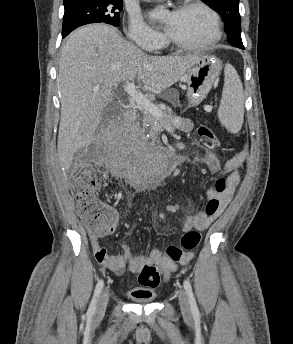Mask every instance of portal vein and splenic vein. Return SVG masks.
I'll use <instances>...</instances> for the list:
<instances>
[{
	"label": "portal vein and splenic vein",
	"mask_w": 293,
	"mask_h": 344,
	"mask_svg": "<svg viewBox=\"0 0 293 344\" xmlns=\"http://www.w3.org/2000/svg\"><path fill=\"white\" fill-rule=\"evenodd\" d=\"M124 91L136 102L146 113L163 121V114L160 108L154 105L146 96L136 90L134 83L129 82L124 86Z\"/></svg>",
	"instance_id": "portal-vein-and-splenic-vein-1"
}]
</instances>
